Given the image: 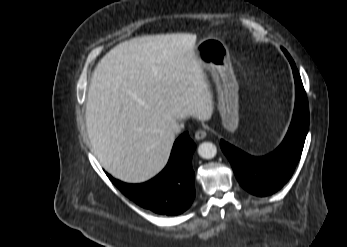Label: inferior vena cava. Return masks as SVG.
<instances>
[{
  "label": "inferior vena cava",
  "mask_w": 347,
  "mask_h": 247,
  "mask_svg": "<svg viewBox=\"0 0 347 247\" xmlns=\"http://www.w3.org/2000/svg\"><path fill=\"white\" fill-rule=\"evenodd\" d=\"M169 132L170 133H172V134H178V133H180V131H181V127H180V125L177 123V122H174L173 124H171L170 126H169Z\"/></svg>",
  "instance_id": "obj_1"
}]
</instances>
